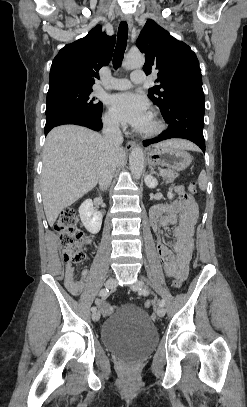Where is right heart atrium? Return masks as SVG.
Returning <instances> with one entry per match:
<instances>
[{"instance_id": "obj_1", "label": "right heart atrium", "mask_w": 247, "mask_h": 407, "mask_svg": "<svg viewBox=\"0 0 247 407\" xmlns=\"http://www.w3.org/2000/svg\"><path fill=\"white\" fill-rule=\"evenodd\" d=\"M103 122L110 129H118L120 126L118 120L115 118L113 113H111L110 111H107L104 113Z\"/></svg>"}]
</instances>
